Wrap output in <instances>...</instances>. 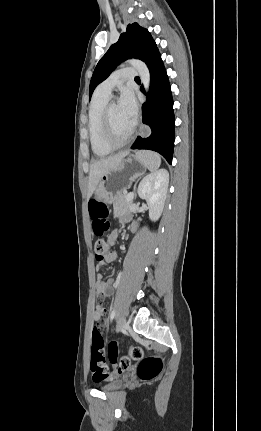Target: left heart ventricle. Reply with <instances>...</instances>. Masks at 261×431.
<instances>
[{"instance_id":"1","label":"left heart ventricle","mask_w":261,"mask_h":431,"mask_svg":"<svg viewBox=\"0 0 261 431\" xmlns=\"http://www.w3.org/2000/svg\"><path fill=\"white\" fill-rule=\"evenodd\" d=\"M110 122L116 138L123 139L133 127L122 113L119 105L114 103L110 110Z\"/></svg>"}]
</instances>
